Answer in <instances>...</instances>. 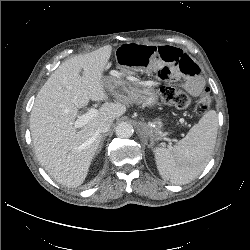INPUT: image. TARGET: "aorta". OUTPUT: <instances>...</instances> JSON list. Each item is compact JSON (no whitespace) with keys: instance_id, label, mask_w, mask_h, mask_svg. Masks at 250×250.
<instances>
[{"instance_id":"762f6f07","label":"aorta","mask_w":250,"mask_h":250,"mask_svg":"<svg viewBox=\"0 0 250 250\" xmlns=\"http://www.w3.org/2000/svg\"><path fill=\"white\" fill-rule=\"evenodd\" d=\"M133 134V127L130 123L122 122L116 127V135L119 138H130Z\"/></svg>"}]
</instances>
